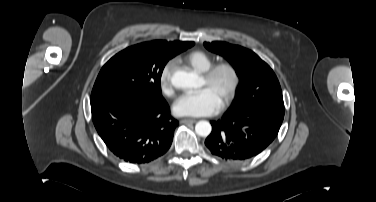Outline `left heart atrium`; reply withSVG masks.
Returning a JSON list of instances; mask_svg holds the SVG:
<instances>
[{
	"instance_id": "1",
	"label": "left heart atrium",
	"mask_w": 376,
	"mask_h": 202,
	"mask_svg": "<svg viewBox=\"0 0 376 202\" xmlns=\"http://www.w3.org/2000/svg\"><path fill=\"white\" fill-rule=\"evenodd\" d=\"M220 104L214 92L204 87L180 96L173 106V111L178 116H209L220 109Z\"/></svg>"
}]
</instances>
